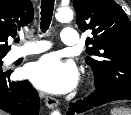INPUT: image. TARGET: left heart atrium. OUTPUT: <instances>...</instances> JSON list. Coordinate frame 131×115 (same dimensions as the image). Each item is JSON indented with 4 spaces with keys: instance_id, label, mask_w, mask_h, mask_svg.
<instances>
[{
    "instance_id": "left-heart-atrium-1",
    "label": "left heart atrium",
    "mask_w": 131,
    "mask_h": 115,
    "mask_svg": "<svg viewBox=\"0 0 131 115\" xmlns=\"http://www.w3.org/2000/svg\"><path fill=\"white\" fill-rule=\"evenodd\" d=\"M25 76L38 88L63 93L71 90L77 81V71L72 63L62 62L55 55H46L25 69Z\"/></svg>"
}]
</instances>
